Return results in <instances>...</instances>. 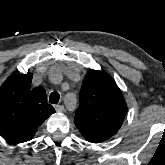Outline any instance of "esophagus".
<instances>
[{
    "label": "esophagus",
    "mask_w": 165,
    "mask_h": 165,
    "mask_svg": "<svg viewBox=\"0 0 165 165\" xmlns=\"http://www.w3.org/2000/svg\"><path fill=\"white\" fill-rule=\"evenodd\" d=\"M55 110L57 112H63L64 111V106L63 105H55Z\"/></svg>",
    "instance_id": "1"
}]
</instances>
